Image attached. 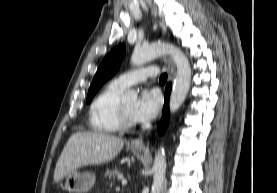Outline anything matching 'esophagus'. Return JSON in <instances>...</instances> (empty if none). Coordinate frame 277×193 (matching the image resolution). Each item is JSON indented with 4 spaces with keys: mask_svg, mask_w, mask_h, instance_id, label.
Instances as JSON below:
<instances>
[{
    "mask_svg": "<svg viewBox=\"0 0 277 193\" xmlns=\"http://www.w3.org/2000/svg\"><path fill=\"white\" fill-rule=\"evenodd\" d=\"M165 60L167 62V69H168V83H172L175 76V67L171 57H166ZM131 144L135 147H140V148L145 147L143 137H138L132 140Z\"/></svg>",
    "mask_w": 277,
    "mask_h": 193,
    "instance_id": "34e87169",
    "label": "esophagus"
}]
</instances>
